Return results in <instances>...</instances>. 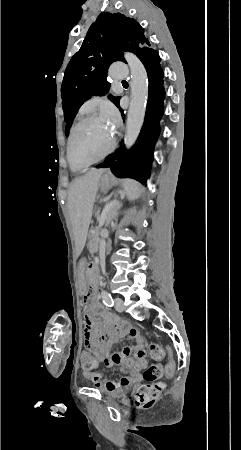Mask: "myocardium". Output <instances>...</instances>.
Wrapping results in <instances>:
<instances>
[{
    "mask_svg": "<svg viewBox=\"0 0 241 450\" xmlns=\"http://www.w3.org/2000/svg\"><path fill=\"white\" fill-rule=\"evenodd\" d=\"M76 119V118H75ZM73 127H72V129H71V132H70V136H69V139H68V144H67V149L69 150V152H68V157L66 158V161L67 162H73L74 161V158H73V152H71L72 151V144L73 143H75L76 142V132H75V129H76V127H78V122H73ZM113 136L114 137H112L111 138V141L112 142H116L117 141V136H118V133L117 132H114L113 133ZM111 143V142H110ZM113 149H118V144H113ZM112 151V150H111ZM104 157H109V152L108 153H104ZM102 160L103 159H101V160H95L96 162H102Z\"/></svg>",
    "mask_w": 241,
    "mask_h": 450,
    "instance_id": "myocardium-1",
    "label": "myocardium"
}]
</instances>
